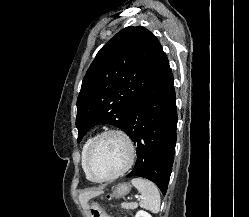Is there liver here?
Segmentation results:
<instances>
[{"label": "liver", "instance_id": "1", "mask_svg": "<svg viewBox=\"0 0 249 217\" xmlns=\"http://www.w3.org/2000/svg\"><path fill=\"white\" fill-rule=\"evenodd\" d=\"M100 194H101L100 190H98V191H87V192L81 193L79 195V201H80L82 207L84 209H88L89 208V206H88L89 199L92 198V197L98 196Z\"/></svg>", "mask_w": 249, "mask_h": 217}]
</instances>
